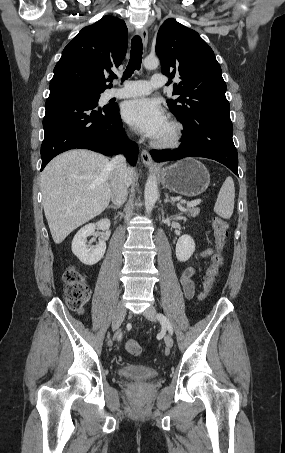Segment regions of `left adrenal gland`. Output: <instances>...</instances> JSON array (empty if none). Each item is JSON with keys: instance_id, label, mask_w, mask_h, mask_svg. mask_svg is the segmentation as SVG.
<instances>
[{"instance_id": "left-adrenal-gland-1", "label": "left adrenal gland", "mask_w": 285, "mask_h": 453, "mask_svg": "<svg viewBox=\"0 0 285 453\" xmlns=\"http://www.w3.org/2000/svg\"><path fill=\"white\" fill-rule=\"evenodd\" d=\"M165 197H166L165 200H164V203H165V204H166V203H171L172 205H174V202L171 201V200L168 198V194H167V193L165 194Z\"/></svg>"}]
</instances>
